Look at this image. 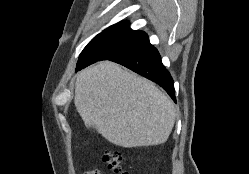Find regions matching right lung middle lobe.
<instances>
[{"label": "right lung middle lobe", "mask_w": 249, "mask_h": 174, "mask_svg": "<svg viewBox=\"0 0 249 174\" xmlns=\"http://www.w3.org/2000/svg\"><path fill=\"white\" fill-rule=\"evenodd\" d=\"M148 41L145 32L128 26L106 29L94 37L79 56L76 71L100 60H107Z\"/></svg>", "instance_id": "obj_1"}]
</instances>
